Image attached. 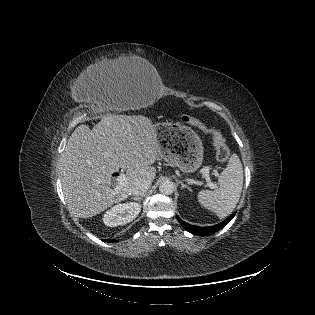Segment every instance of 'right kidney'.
Masks as SVG:
<instances>
[{
	"label": "right kidney",
	"mask_w": 315,
	"mask_h": 315,
	"mask_svg": "<svg viewBox=\"0 0 315 315\" xmlns=\"http://www.w3.org/2000/svg\"><path fill=\"white\" fill-rule=\"evenodd\" d=\"M141 211V205L135 202L117 204L103 216V222L106 226L116 227L125 225L133 221Z\"/></svg>",
	"instance_id": "ca27d5eb"
}]
</instances>
